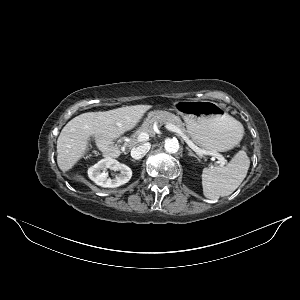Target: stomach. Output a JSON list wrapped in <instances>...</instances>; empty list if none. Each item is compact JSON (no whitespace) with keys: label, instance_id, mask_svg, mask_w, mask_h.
<instances>
[{"label":"stomach","instance_id":"0dacf381","mask_svg":"<svg viewBox=\"0 0 300 300\" xmlns=\"http://www.w3.org/2000/svg\"><path fill=\"white\" fill-rule=\"evenodd\" d=\"M176 111L183 117L188 134L201 147L217 152L228 151L242 138L239 125L224 107L212 101L194 100L176 104ZM162 111L148 114L154 119Z\"/></svg>","mask_w":300,"mask_h":300}]
</instances>
